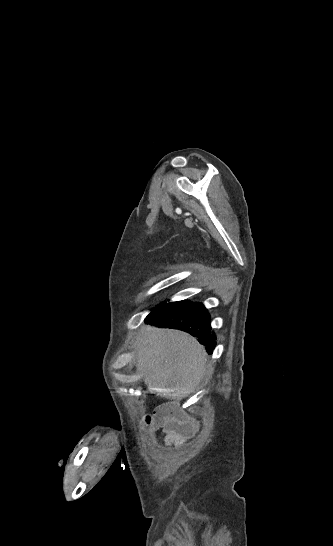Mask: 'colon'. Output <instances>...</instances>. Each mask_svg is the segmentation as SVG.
Listing matches in <instances>:
<instances>
[{"instance_id": "colon-1", "label": "colon", "mask_w": 333, "mask_h": 546, "mask_svg": "<svg viewBox=\"0 0 333 546\" xmlns=\"http://www.w3.org/2000/svg\"><path fill=\"white\" fill-rule=\"evenodd\" d=\"M146 423L147 425H150V426L152 425V418L150 416L146 418Z\"/></svg>"}]
</instances>
